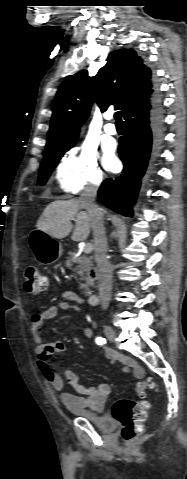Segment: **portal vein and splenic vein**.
I'll use <instances>...</instances> for the list:
<instances>
[{"mask_svg": "<svg viewBox=\"0 0 187 479\" xmlns=\"http://www.w3.org/2000/svg\"><path fill=\"white\" fill-rule=\"evenodd\" d=\"M84 253L89 254L92 251V245L91 244H86L83 248Z\"/></svg>", "mask_w": 187, "mask_h": 479, "instance_id": "1", "label": "portal vein and splenic vein"}]
</instances>
